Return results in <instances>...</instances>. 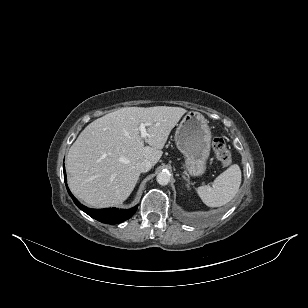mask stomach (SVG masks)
Returning <instances> with one entry per match:
<instances>
[{
    "instance_id": "obj_1",
    "label": "stomach",
    "mask_w": 308,
    "mask_h": 308,
    "mask_svg": "<svg viewBox=\"0 0 308 308\" xmlns=\"http://www.w3.org/2000/svg\"><path fill=\"white\" fill-rule=\"evenodd\" d=\"M175 142L185 157L186 172L192 176L202 175L211 144V131L207 119L199 112H188L176 129Z\"/></svg>"
}]
</instances>
